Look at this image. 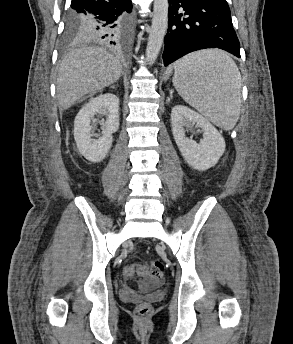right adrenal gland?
<instances>
[{
	"instance_id": "2a0ac1e0",
	"label": "right adrenal gland",
	"mask_w": 293,
	"mask_h": 344,
	"mask_svg": "<svg viewBox=\"0 0 293 344\" xmlns=\"http://www.w3.org/2000/svg\"><path fill=\"white\" fill-rule=\"evenodd\" d=\"M111 88H115V86H111Z\"/></svg>"
}]
</instances>
